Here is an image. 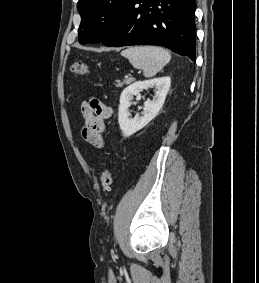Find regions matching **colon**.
<instances>
[{"label":"colon","instance_id":"1","mask_svg":"<svg viewBox=\"0 0 259 283\" xmlns=\"http://www.w3.org/2000/svg\"><path fill=\"white\" fill-rule=\"evenodd\" d=\"M70 69L74 75L89 76L91 74V70L88 64L81 61L72 63ZM111 183H112V172L110 168H105V170L102 172L101 175V186L104 194L107 195L108 192L110 191Z\"/></svg>","mask_w":259,"mask_h":283}]
</instances>
